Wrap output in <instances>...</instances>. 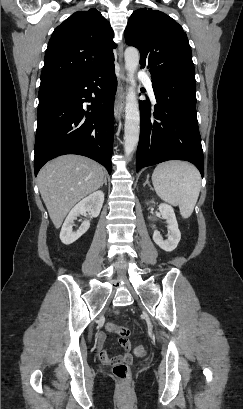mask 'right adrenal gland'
I'll list each match as a JSON object with an SVG mask.
<instances>
[{"label": "right adrenal gland", "mask_w": 243, "mask_h": 409, "mask_svg": "<svg viewBox=\"0 0 243 409\" xmlns=\"http://www.w3.org/2000/svg\"><path fill=\"white\" fill-rule=\"evenodd\" d=\"M103 184L107 185V178H106V176H104L103 183L101 184V186H103Z\"/></svg>", "instance_id": "1"}]
</instances>
